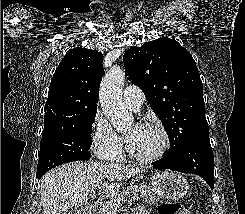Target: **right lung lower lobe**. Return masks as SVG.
<instances>
[{"label": "right lung lower lobe", "instance_id": "1", "mask_svg": "<svg viewBox=\"0 0 245 214\" xmlns=\"http://www.w3.org/2000/svg\"><path fill=\"white\" fill-rule=\"evenodd\" d=\"M44 174L36 175L38 179H40Z\"/></svg>", "mask_w": 245, "mask_h": 214}]
</instances>
